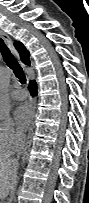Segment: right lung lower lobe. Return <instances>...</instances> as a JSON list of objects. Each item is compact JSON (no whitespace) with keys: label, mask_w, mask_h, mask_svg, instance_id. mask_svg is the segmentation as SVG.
I'll return each mask as SVG.
<instances>
[{"label":"right lung lower lobe","mask_w":89,"mask_h":203,"mask_svg":"<svg viewBox=\"0 0 89 203\" xmlns=\"http://www.w3.org/2000/svg\"><path fill=\"white\" fill-rule=\"evenodd\" d=\"M29 90L32 96L37 95V86L35 81H31L29 84Z\"/></svg>","instance_id":"right-lung-lower-lobe-1"}]
</instances>
